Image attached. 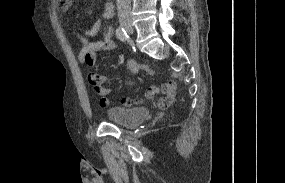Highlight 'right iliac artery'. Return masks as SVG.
Listing matches in <instances>:
<instances>
[{
  "label": "right iliac artery",
  "mask_w": 285,
  "mask_h": 183,
  "mask_svg": "<svg viewBox=\"0 0 285 183\" xmlns=\"http://www.w3.org/2000/svg\"><path fill=\"white\" fill-rule=\"evenodd\" d=\"M116 36L118 39H120L121 41H126L128 38V35L126 33V31L124 30V28L122 27H118L116 29Z\"/></svg>",
  "instance_id": "1"
}]
</instances>
